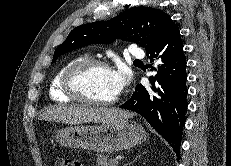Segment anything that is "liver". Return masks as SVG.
<instances>
[{"label":"liver","mask_w":231,"mask_h":166,"mask_svg":"<svg viewBox=\"0 0 231 166\" xmlns=\"http://www.w3.org/2000/svg\"><path fill=\"white\" fill-rule=\"evenodd\" d=\"M127 117H133V115L116 108L59 104L44 109L39 115V120L61 122L71 125L87 122L105 124Z\"/></svg>","instance_id":"liver-1"}]
</instances>
